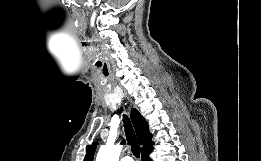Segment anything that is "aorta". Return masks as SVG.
<instances>
[{"label":"aorta","mask_w":261,"mask_h":161,"mask_svg":"<svg viewBox=\"0 0 261 161\" xmlns=\"http://www.w3.org/2000/svg\"><path fill=\"white\" fill-rule=\"evenodd\" d=\"M121 150V145H114L109 143L102 145L97 154L96 161H118Z\"/></svg>","instance_id":"762f6f07"}]
</instances>
